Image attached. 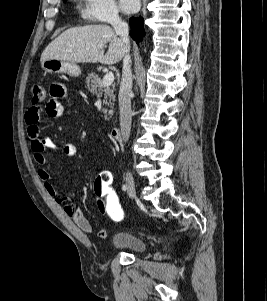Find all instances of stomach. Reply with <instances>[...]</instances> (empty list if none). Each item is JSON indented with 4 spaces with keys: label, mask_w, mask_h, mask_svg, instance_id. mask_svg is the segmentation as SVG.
Segmentation results:
<instances>
[{
    "label": "stomach",
    "mask_w": 267,
    "mask_h": 301,
    "mask_svg": "<svg viewBox=\"0 0 267 301\" xmlns=\"http://www.w3.org/2000/svg\"><path fill=\"white\" fill-rule=\"evenodd\" d=\"M41 67L48 73H64L71 77H78L81 74V69L76 63L59 59L42 61Z\"/></svg>",
    "instance_id": "stomach-1"
}]
</instances>
